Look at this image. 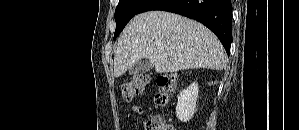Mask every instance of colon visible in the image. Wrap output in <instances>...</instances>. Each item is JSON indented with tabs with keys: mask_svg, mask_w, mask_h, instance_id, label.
<instances>
[{
	"mask_svg": "<svg viewBox=\"0 0 299 130\" xmlns=\"http://www.w3.org/2000/svg\"><path fill=\"white\" fill-rule=\"evenodd\" d=\"M151 77L147 73H140L132 77L131 80L123 83L121 87L122 97L125 101H132L138 97L147 85ZM158 92L154 101L158 106L166 105L177 88V76L172 73H163L157 78ZM144 130H176V128L165 122L160 117H152L146 121Z\"/></svg>",
	"mask_w": 299,
	"mask_h": 130,
	"instance_id": "5ec220e1",
	"label": "colon"
}]
</instances>
